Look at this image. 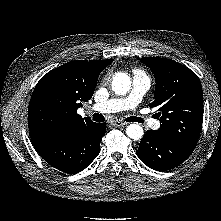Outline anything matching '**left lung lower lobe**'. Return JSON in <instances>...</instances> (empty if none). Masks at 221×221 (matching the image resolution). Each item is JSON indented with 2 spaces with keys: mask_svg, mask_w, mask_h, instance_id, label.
<instances>
[{
  "mask_svg": "<svg viewBox=\"0 0 221 221\" xmlns=\"http://www.w3.org/2000/svg\"><path fill=\"white\" fill-rule=\"evenodd\" d=\"M194 148L160 137L156 131L148 130L137 150L139 159L151 169L167 171L183 163Z\"/></svg>",
  "mask_w": 221,
  "mask_h": 221,
  "instance_id": "left-lung-lower-lobe-1",
  "label": "left lung lower lobe"
}]
</instances>
